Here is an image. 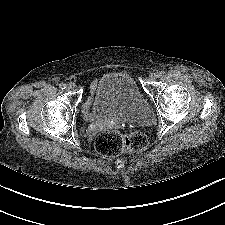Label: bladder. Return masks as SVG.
I'll use <instances>...</instances> for the list:
<instances>
[{"instance_id":"1","label":"bladder","mask_w":225,"mask_h":225,"mask_svg":"<svg viewBox=\"0 0 225 225\" xmlns=\"http://www.w3.org/2000/svg\"><path fill=\"white\" fill-rule=\"evenodd\" d=\"M92 118L95 121L120 120L149 124L153 122L154 115L134 78L126 72H111L103 75L95 84Z\"/></svg>"}]
</instances>
